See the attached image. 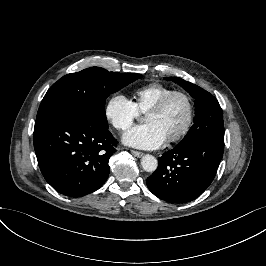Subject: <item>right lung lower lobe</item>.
Listing matches in <instances>:
<instances>
[{"label":"right lung lower lobe","mask_w":266,"mask_h":266,"mask_svg":"<svg viewBox=\"0 0 266 266\" xmlns=\"http://www.w3.org/2000/svg\"><path fill=\"white\" fill-rule=\"evenodd\" d=\"M34 149L46 181L59 193L82 197L107 180L117 140L107 129L69 111L36 120Z\"/></svg>","instance_id":"98d812e1"}]
</instances>
